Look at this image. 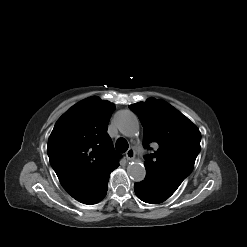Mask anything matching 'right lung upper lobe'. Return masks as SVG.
<instances>
[{
  "label": "right lung upper lobe",
  "instance_id": "obj_1",
  "mask_svg": "<svg viewBox=\"0 0 247 247\" xmlns=\"http://www.w3.org/2000/svg\"><path fill=\"white\" fill-rule=\"evenodd\" d=\"M115 106L98 97L71 107L56 122L47 153L64 189L76 200L119 166L107 126Z\"/></svg>",
  "mask_w": 247,
  "mask_h": 247
}]
</instances>
